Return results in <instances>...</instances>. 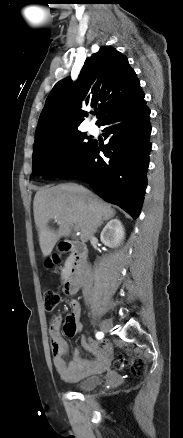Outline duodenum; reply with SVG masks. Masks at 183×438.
<instances>
[{
  "label": "duodenum",
  "mask_w": 183,
  "mask_h": 438,
  "mask_svg": "<svg viewBox=\"0 0 183 438\" xmlns=\"http://www.w3.org/2000/svg\"><path fill=\"white\" fill-rule=\"evenodd\" d=\"M62 252L72 254V262L64 281V290L68 295H75L80 289L87 260V248L81 242L65 240L59 246Z\"/></svg>",
  "instance_id": "duodenum-1"
}]
</instances>
